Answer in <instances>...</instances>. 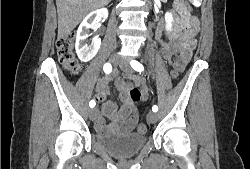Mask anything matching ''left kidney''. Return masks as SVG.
Wrapping results in <instances>:
<instances>
[{
  "mask_svg": "<svg viewBox=\"0 0 250 169\" xmlns=\"http://www.w3.org/2000/svg\"><path fill=\"white\" fill-rule=\"evenodd\" d=\"M165 30H172V22L174 20L172 12H166L165 14Z\"/></svg>",
  "mask_w": 250,
  "mask_h": 169,
  "instance_id": "obj_1",
  "label": "left kidney"
}]
</instances>
